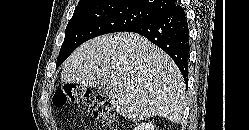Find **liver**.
<instances>
[{
    "label": "liver",
    "mask_w": 249,
    "mask_h": 130,
    "mask_svg": "<svg viewBox=\"0 0 249 130\" xmlns=\"http://www.w3.org/2000/svg\"><path fill=\"white\" fill-rule=\"evenodd\" d=\"M61 81L107 86L116 111L134 121L152 116L182 120L185 83L179 68L136 33L107 34L83 43L65 61Z\"/></svg>",
    "instance_id": "1"
}]
</instances>
